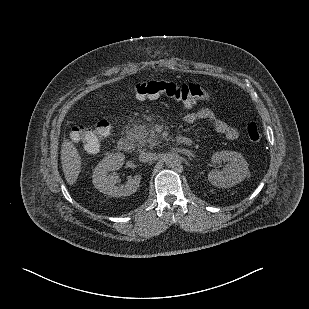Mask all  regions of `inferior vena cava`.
Returning a JSON list of instances; mask_svg holds the SVG:
<instances>
[{"label": "inferior vena cava", "mask_w": 309, "mask_h": 309, "mask_svg": "<svg viewBox=\"0 0 309 309\" xmlns=\"http://www.w3.org/2000/svg\"><path fill=\"white\" fill-rule=\"evenodd\" d=\"M155 158L156 154L153 152H141L139 155V161L142 163L153 161Z\"/></svg>", "instance_id": "602c4592"}]
</instances>
